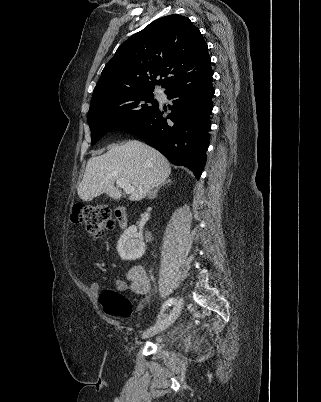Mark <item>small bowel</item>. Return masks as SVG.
I'll return each instance as SVG.
<instances>
[{
    "instance_id": "c3829d8e",
    "label": "small bowel",
    "mask_w": 321,
    "mask_h": 402,
    "mask_svg": "<svg viewBox=\"0 0 321 402\" xmlns=\"http://www.w3.org/2000/svg\"><path fill=\"white\" fill-rule=\"evenodd\" d=\"M127 280L129 283L123 279H116V288L120 291H125L130 288L134 293L139 295H145L150 292L151 282L146 270L142 266H133L128 272ZM90 288L93 292H98L100 286L94 283Z\"/></svg>"
}]
</instances>
